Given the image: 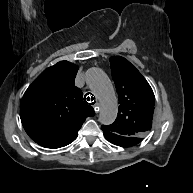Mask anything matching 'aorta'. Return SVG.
<instances>
[{"label": "aorta", "mask_w": 193, "mask_h": 193, "mask_svg": "<svg viewBox=\"0 0 193 193\" xmlns=\"http://www.w3.org/2000/svg\"><path fill=\"white\" fill-rule=\"evenodd\" d=\"M86 82L101 102L99 122L112 124L118 113V101L109 77L99 68H91L86 75Z\"/></svg>", "instance_id": "obj_1"}]
</instances>
